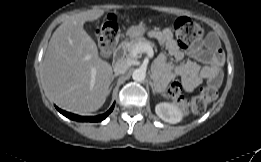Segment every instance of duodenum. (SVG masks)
I'll use <instances>...</instances> for the list:
<instances>
[{"mask_svg": "<svg viewBox=\"0 0 261 162\" xmlns=\"http://www.w3.org/2000/svg\"><path fill=\"white\" fill-rule=\"evenodd\" d=\"M123 46H124V40H122L118 46H117V50H118V54L119 55H123Z\"/></svg>", "mask_w": 261, "mask_h": 162, "instance_id": "obj_1", "label": "duodenum"}]
</instances>
